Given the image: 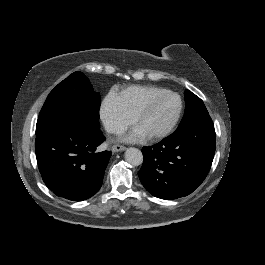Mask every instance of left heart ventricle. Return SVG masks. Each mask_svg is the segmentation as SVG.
I'll return each mask as SVG.
<instances>
[{
  "label": "left heart ventricle",
  "instance_id": "b2bd125f",
  "mask_svg": "<svg viewBox=\"0 0 265 265\" xmlns=\"http://www.w3.org/2000/svg\"><path fill=\"white\" fill-rule=\"evenodd\" d=\"M178 109L177 97L161 93L155 97L147 111L139 117L137 128L145 135H150L169 122L176 115Z\"/></svg>",
  "mask_w": 265,
  "mask_h": 265
}]
</instances>
